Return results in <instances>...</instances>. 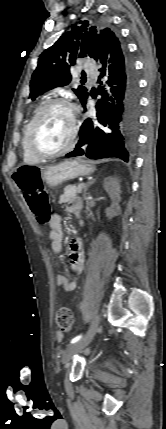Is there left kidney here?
I'll return each instance as SVG.
<instances>
[{"label":"left kidney","mask_w":166,"mask_h":429,"mask_svg":"<svg viewBox=\"0 0 166 429\" xmlns=\"http://www.w3.org/2000/svg\"><path fill=\"white\" fill-rule=\"evenodd\" d=\"M104 189L112 199V205L106 209L108 219H111L121 213L119 202L121 201L120 183L114 177H107L104 179Z\"/></svg>","instance_id":"obj_1"}]
</instances>
